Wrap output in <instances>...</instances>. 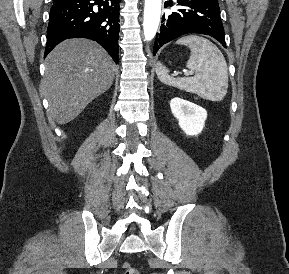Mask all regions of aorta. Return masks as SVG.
I'll return each mask as SVG.
<instances>
[{
	"label": "aorta",
	"mask_w": 289,
	"mask_h": 274,
	"mask_svg": "<svg viewBox=\"0 0 289 274\" xmlns=\"http://www.w3.org/2000/svg\"><path fill=\"white\" fill-rule=\"evenodd\" d=\"M161 15V0H145L143 30L145 39L154 38Z\"/></svg>",
	"instance_id": "762f6f07"
}]
</instances>
